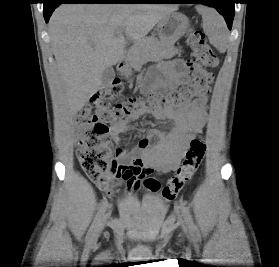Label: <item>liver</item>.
<instances>
[{"mask_svg": "<svg viewBox=\"0 0 279 267\" xmlns=\"http://www.w3.org/2000/svg\"><path fill=\"white\" fill-rule=\"evenodd\" d=\"M175 5L64 4L51 16L49 33L70 114H75L102 85L106 67L122 60L126 41L120 27L141 41Z\"/></svg>", "mask_w": 279, "mask_h": 267, "instance_id": "liver-1", "label": "liver"}]
</instances>
